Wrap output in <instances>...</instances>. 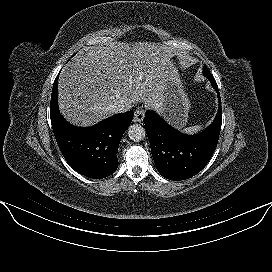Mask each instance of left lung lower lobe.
I'll use <instances>...</instances> for the list:
<instances>
[{"label": "left lung lower lobe", "instance_id": "obj_1", "mask_svg": "<svg viewBox=\"0 0 272 272\" xmlns=\"http://www.w3.org/2000/svg\"><path fill=\"white\" fill-rule=\"evenodd\" d=\"M218 95L219 109L213 123L198 135H185L160 118L154 111L145 115V130L158 172L179 181L198 174L211 159L222 124L221 99L213 76L207 77Z\"/></svg>", "mask_w": 272, "mask_h": 272}]
</instances>
